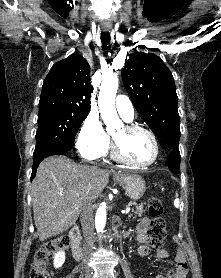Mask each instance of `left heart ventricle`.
<instances>
[{
	"mask_svg": "<svg viewBox=\"0 0 221 278\" xmlns=\"http://www.w3.org/2000/svg\"><path fill=\"white\" fill-rule=\"evenodd\" d=\"M123 155L133 163L146 164L154 156L151 138L142 131L127 132L122 128L113 135Z\"/></svg>",
	"mask_w": 221,
	"mask_h": 278,
	"instance_id": "1",
	"label": "left heart ventricle"
}]
</instances>
